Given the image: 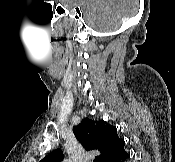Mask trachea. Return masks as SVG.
Here are the masks:
<instances>
[{
    "instance_id": "trachea-1",
    "label": "trachea",
    "mask_w": 175,
    "mask_h": 162,
    "mask_svg": "<svg viewBox=\"0 0 175 162\" xmlns=\"http://www.w3.org/2000/svg\"><path fill=\"white\" fill-rule=\"evenodd\" d=\"M94 162H98V160L95 159Z\"/></svg>"
}]
</instances>
